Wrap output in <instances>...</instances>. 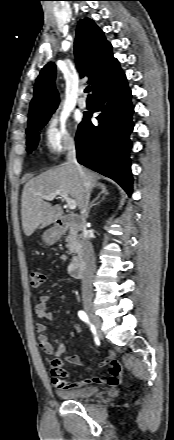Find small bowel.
Masks as SVG:
<instances>
[{"mask_svg":"<svg viewBox=\"0 0 174 440\" xmlns=\"http://www.w3.org/2000/svg\"><path fill=\"white\" fill-rule=\"evenodd\" d=\"M49 303L50 297L48 295H42L40 297V302L36 306V315L43 321H51L53 318V314L49 308ZM43 321L36 324V330L39 333L38 341L40 347L46 355L50 357H57L64 353L65 345L60 343L56 348L52 345L48 335L46 334L47 326ZM77 335L78 330H74L70 334V338H76ZM65 361L72 365L81 364V359L78 355H67L65 357ZM99 365L109 367V376L107 379L94 376L81 381H68L69 372L64 367L63 362L61 360L54 359L51 361L52 381L56 387L62 389H77L85 386L86 384H102L105 382L112 387L117 386L120 380L121 368L115 359L114 352L109 351L107 357Z\"/></svg>","mask_w":174,"mask_h":440,"instance_id":"obj_1","label":"small bowel"}]
</instances>
